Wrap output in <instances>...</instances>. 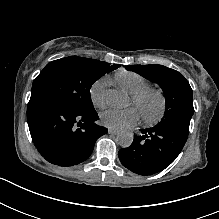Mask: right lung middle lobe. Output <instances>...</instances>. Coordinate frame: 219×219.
<instances>
[{"label": "right lung middle lobe", "mask_w": 219, "mask_h": 219, "mask_svg": "<svg viewBox=\"0 0 219 219\" xmlns=\"http://www.w3.org/2000/svg\"><path fill=\"white\" fill-rule=\"evenodd\" d=\"M119 66L78 56L52 61L34 80L31 97H51L77 111H92L94 110L90 96L92 84Z\"/></svg>", "instance_id": "dd1d6c3e"}]
</instances>
